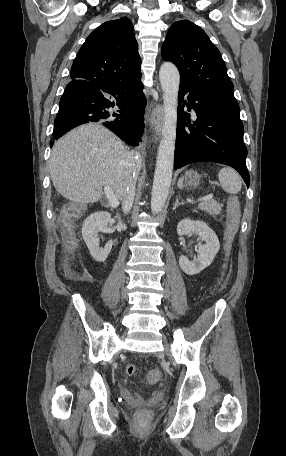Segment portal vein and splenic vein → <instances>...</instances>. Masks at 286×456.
I'll list each match as a JSON object with an SVG mask.
<instances>
[{"label": "portal vein and splenic vein", "instance_id": "18ae733b", "mask_svg": "<svg viewBox=\"0 0 286 456\" xmlns=\"http://www.w3.org/2000/svg\"><path fill=\"white\" fill-rule=\"evenodd\" d=\"M104 192L106 194L107 199L110 201L112 207H116L119 204V202H118L117 198L115 197L112 188L109 186H105ZM212 198H213V195L208 194V195L204 196L203 198L199 199V202L211 200Z\"/></svg>", "mask_w": 286, "mask_h": 456}]
</instances>
